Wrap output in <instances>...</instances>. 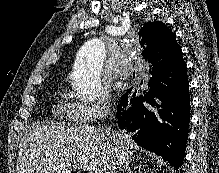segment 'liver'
I'll return each instance as SVG.
<instances>
[{"label": "liver", "instance_id": "obj_1", "mask_svg": "<svg viewBox=\"0 0 219 173\" xmlns=\"http://www.w3.org/2000/svg\"><path fill=\"white\" fill-rule=\"evenodd\" d=\"M139 149L121 131L106 140L100 127L36 125L19 144L17 173H71L73 163L87 173H107L113 163L128 164Z\"/></svg>", "mask_w": 219, "mask_h": 173}]
</instances>
